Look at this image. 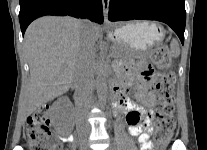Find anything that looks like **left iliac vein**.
I'll return each mask as SVG.
<instances>
[{"label":"left iliac vein","mask_w":207,"mask_h":150,"mask_svg":"<svg viewBox=\"0 0 207 150\" xmlns=\"http://www.w3.org/2000/svg\"><path fill=\"white\" fill-rule=\"evenodd\" d=\"M107 150H115L113 146H110Z\"/></svg>","instance_id":"obj_1"}]
</instances>
